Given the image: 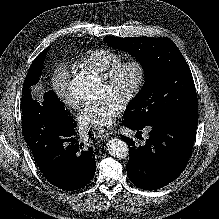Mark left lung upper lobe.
Masks as SVG:
<instances>
[{
    "label": "left lung upper lobe",
    "instance_id": "5c2ea615",
    "mask_svg": "<svg viewBox=\"0 0 219 219\" xmlns=\"http://www.w3.org/2000/svg\"><path fill=\"white\" fill-rule=\"evenodd\" d=\"M105 42L138 58L146 74L141 91L124 112V119L147 125L198 115L190 68L172 40L166 37H106Z\"/></svg>",
    "mask_w": 219,
    "mask_h": 219
}]
</instances>
